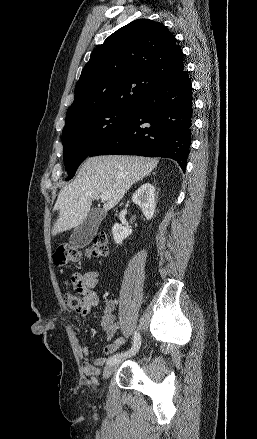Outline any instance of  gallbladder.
Wrapping results in <instances>:
<instances>
[{"label": "gallbladder", "instance_id": "gallbladder-1", "mask_svg": "<svg viewBox=\"0 0 257 439\" xmlns=\"http://www.w3.org/2000/svg\"><path fill=\"white\" fill-rule=\"evenodd\" d=\"M102 219V212L98 209H92L84 222L74 229L69 238V243L77 248L87 246L97 232Z\"/></svg>", "mask_w": 257, "mask_h": 439}]
</instances>
